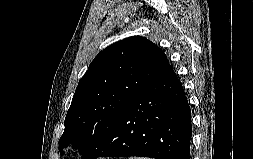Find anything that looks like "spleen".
Here are the masks:
<instances>
[{"label":"spleen","instance_id":"spleen-1","mask_svg":"<svg viewBox=\"0 0 253 159\" xmlns=\"http://www.w3.org/2000/svg\"><path fill=\"white\" fill-rule=\"evenodd\" d=\"M129 159H149V158H144V157H130Z\"/></svg>","mask_w":253,"mask_h":159}]
</instances>
